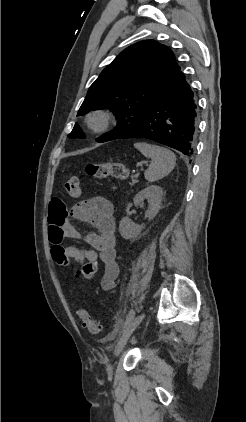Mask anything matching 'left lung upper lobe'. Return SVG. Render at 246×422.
I'll return each mask as SVG.
<instances>
[{
    "label": "left lung upper lobe",
    "mask_w": 246,
    "mask_h": 422,
    "mask_svg": "<svg viewBox=\"0 0 246 422\" xmlns=\"http://www.w3.org/2000/svg\"><path fill=\"white\" fill-rule=\"evenodd\" d=\"M180 70L173 52L154 40L135 43L122 51L91 85L78 116L95 109H109L117 126L96 139H117L144 115L158 93ZM69 138H84L75 124Z\"/></svg>",
    "instance_id": "obj_1"
}]
</instances>
